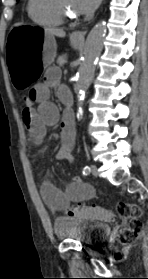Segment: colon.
I'll use <instances>...</instances> for the list:
<instances>
[{
  "instance_id": "1",
  "label": "colon",
  "mask_w": 148,
  "mask_h": 279,
  "mask_svg": "<svg viewBox=\"0 0 148 279\" xmlns=\"http://www.w3.org/2000/svg\"><path fill=\"white\" fill-rule=\"evenodd\" d=\"M34 103L32 96H24V105L29 107ZM117 217L125 223V226L118 233V241L122 248L117 251L116 258L123 259L125 257V248L134 242L143 230V222L141 221L142 210L133 203L121 202L116 207ZM68 215L73 218L113 221L115 214L104 207L95 205H79L68 209Z\"/></svg>"
}]
</instances>
